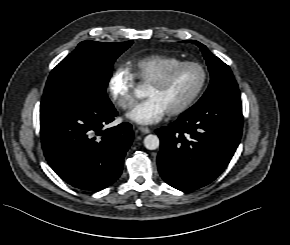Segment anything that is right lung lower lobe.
<instances>
[{
  "label": "right lung lower lobe",
  "instance_id": "1",
  "mask_svg": "<svg viewBox=\"0 0 290 245\" xmlns=\"http://www.w3.org/2000/svg\"><path fill=\"white\" fill-rule=\"evenodd\" d=\"M116 116L112 103L40 114L44 155L64 181L99 191L119 178L133 131L129 123L102 130Z\"/></svg>",
  "mask_w": 290,
  "mask_h": 245
}]
</instances>
